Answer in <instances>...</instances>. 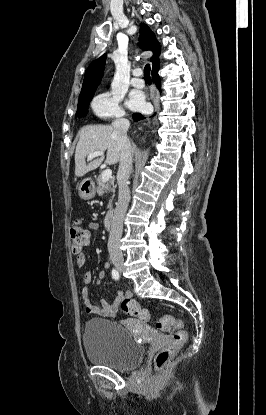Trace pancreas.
Here are the masks:
<instances>
[{"instance_id":"1","label":"pancreas","mask_w":266,"mask_h":415,"mask_svg":"<svg viewBox=\"0 0 266 415\" xmlns=\"http://www.w3.org/2000/svg\"><path fill=\"white\" fill-rule=\"evenodd\" d=\"M97 194L99 196H103L105 193H108L110 191L113 192L112 195V199L114 197V193H115V185H114V178L109 179L106 182L102 181V177L101 175L98 177L97 179V188H96ZM112 199L109 200V204L107 206V208L109 209V211L112 210Z\"/></svg>"}]
</instances>
